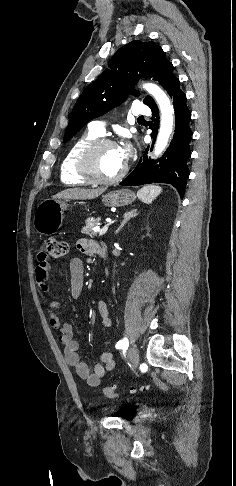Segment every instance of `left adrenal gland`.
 Masks as SVG:
<instances>
[{
  "label": "left adrenal gland",
  "instance_id": "left-adrenal-gland-1",
  "mask_svg": "<svg viewBox=\"0 0 236 486\" xmlns=\"http://www.w3.org/2000/svg\"><path fill=\"white\" fill-rule=\"evenodd\" d=\"M138 214L137 209H132L129 212L124 213L123 215V221L121 225L118 227V229L115 231V234H118L120 230L124 227V225L133 217H135Z\"/></svg>",
  "mask_w": 236,
  "mask_h": 486
}]
</instances>
